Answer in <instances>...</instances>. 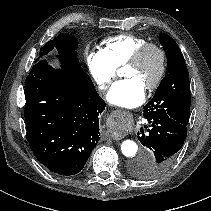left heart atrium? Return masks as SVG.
<instances>
[{"mask_svg":"<svg viewBox=\"0 0 211 211\" xmlns=\"http://www.w3.org/2000/svg\"><path fill=\"white\" fill-rule=\"evenodd\" d=\"M106 98L114 106L133 108L145 99V87L136 78H126L114 83Z\"/></svg>","mask_w":211,"mask_h":211,"instance_id":"obj_1","label":"left heart atrium"}]
</instances>
